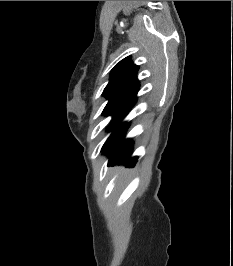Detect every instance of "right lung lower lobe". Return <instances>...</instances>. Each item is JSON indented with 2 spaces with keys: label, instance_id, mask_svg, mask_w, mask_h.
<instances>
[{
  "label": "right lung lower lobe",
  "instance_id": "right-lung-lower-lobe-1",
  "mask_svg": "<svg viewBox=\"0 0 233 266\" xmlns=\"http://www.w3.org/2000/svg\"><path fill=\"white\" fill-rule=\"evenodd\" d=\"M127 128L128 124H124L103 146V153L109 155V165L124 161L128 166L133 167L137 161V157H130L133 142L124 139Z\"/></svg>",
  "mask_w": 233,
  "mask_h": 266
}]
</instances>
